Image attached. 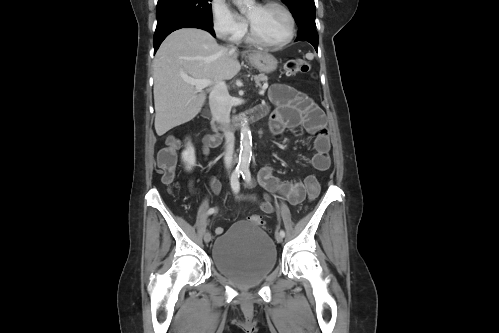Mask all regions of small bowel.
Returning a JSON list of instances; mask_svg holds the SVG:
<instances>
[{"label":"small bowel","instance_id":"small-bowel-1","mask_svg":"<svg viewBox=\"0 0 499 333\" xmlns=\"http://www.w3.org/2000/svg\"><path fill=\"white\" fill-rule=\"evenodd\" d=\"M269 97L271 102L276 105V109L270 115L271 133L278 138L286 129L303 128L314 139L313 167L318 171L327 170L330 166V139L323 111L308 95L286 84L272 85ZM260 107L265 110V113L269 110L266 105ZM219 141L218 136H205L203 141L204 154L208 153L209 148L217 146ZM207 180L213 193H219L221 183L213 176H209ZM257 181L265 188L267 194L263 198L249 194L241 196L240 199L256 204L266 214H271L274 211L271 193H278L291 205L301 203L306 195L302 183L280 182L274 177L269 167H264L259 172ZM191 186H193V182H191ZM223 230L222 227L216 229L217 233H222Z\"/></svg>","mask_w":499,"mask_h":333}]
</instances>
